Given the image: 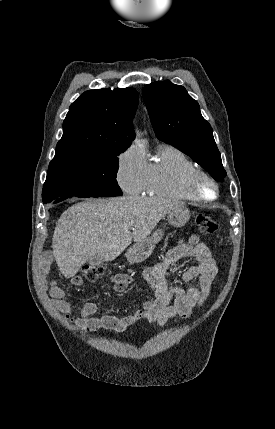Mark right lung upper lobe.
<instances>
[{"mask_svg":"<svg viewBox=\"0 0 275 429\" xmlns=\"http://www.w3.org/2000/svg\"><path fill=\"white\" fill-rule=\"evenodd\" d=\"M138 105L133 88L84 92L69 108L56 154L125 151L134 139L132 119Z\"/></svg>","mask_w":275,"mask_h":429,"instance_id":"right-lung-upper-lobe-1","label":"right lung upper lobe"}]
</instances>
